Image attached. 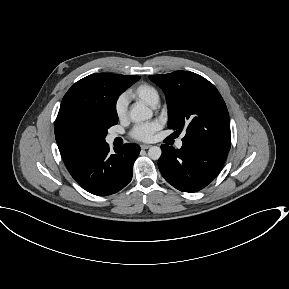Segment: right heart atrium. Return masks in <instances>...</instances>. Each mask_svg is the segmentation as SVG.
Here are the masks:
<instances>
[{"mask_svg":"<svg viewBox=\"0 0 289 289\" xmlns=\"http://www.w3.org/2000/svg\"><path fill=\"white\" fill-rule=\"evenodd\" d=\"M115 114L119 119H124L127 116L128 110V98L125 95H121L117 98L114 105Z\"/></svg>","mask_w":289,"mask_h":289,"instance_id":"1","label":"right heart atrium"}]
</instances>
